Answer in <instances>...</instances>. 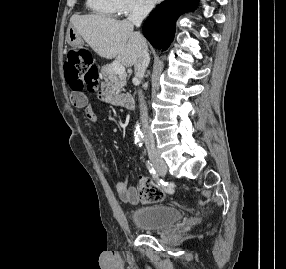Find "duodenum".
Returning <instances> with one entry per match:
<instances>
[{
    "label": "duodenum",
    "mask_w": 286,
    "mask_h": 269,
    "mask_svg": "<svg viewBox=\"0 0 286 269\" xmlns=\"http://www.w3.org/2000/svg\"><path fill=\"white\" fill-rule=\"evenodd\" d=\"M120 106L127 108V109H132L134 107V101L130 98H123L120 100Z\"/></svg>",
    "instance_id": "410a0bca"
}]
</instances>
